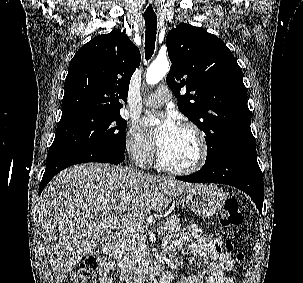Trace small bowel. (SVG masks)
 Listing matches in <instances>:
<instances>
[{
    "instance_id": "1",
    "label": "small bowel",
    "mask_w": 303,
    "mask_h": 283,
    "mask_svg": "<svg viewBox=\"0 0 303 283\" xmlns=\"http://www.w3.org/2000/svg\"><path fill=\"white\" fill-rule=\"evenodd\" d=\"M190 242L192 252L201 260L200 272L188 276L175 283H235L231 274L235 263L229 253L220 250L222 238L204 234L196 225L188 224L177 234L170 236L164 242V252L167 257ZM114 267L113 261L103 256L99 260V283H112L109 273ZM161 283H174L172 273H165Z\"/></svg>"
}]
</instances>
